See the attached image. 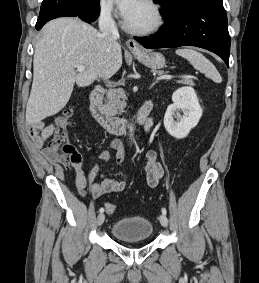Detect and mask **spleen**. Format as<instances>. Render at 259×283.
<instances>
[{
  "label": "spleen",
  "mask_w": 259,
  "mask_h": 283,
  "mask_svg": "<svg viewBox=\"0 0 259 283\" xmlns=\"http://www.w3.org/2000/svg\"><path fill=\"white\" fill-rule=\"evenodd\" d=\"M176 54L185 58L196 70L204 73L206 77L211 78L214 82H222V78L215 66L201 53L190 49H177Z\"/></svg>",
  "instance_id": "3e777b00"
}]
</instances>
